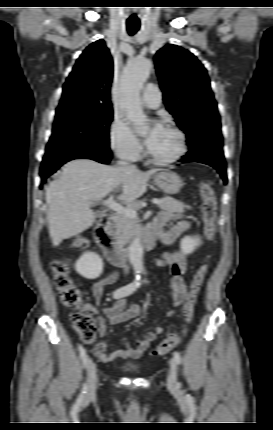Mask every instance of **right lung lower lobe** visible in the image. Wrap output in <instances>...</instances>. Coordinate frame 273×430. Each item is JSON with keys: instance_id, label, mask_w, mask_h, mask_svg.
Segmentation results:
<instances>
[{"instance_id": "1", "label": "right lung lower lobe", "mask_w": 273, "mask_h": 430, "mask_svg": "<svg viewBox=\"0 0 273 430\" xmlns=\"http://www.w3.org/2000/svg\"><path fill=\"white\" fill-rule=\"evenodd\" d=\"M79 158L92 159L100 163L107 164L110 162L111 153L110 151L109 152L83 151V152L72 153V154L60 157L58 159H55L53 161H50L48 163H44L42 164L41 171H40L42 182H45L46 178L49 175L53 174L64 163L70 160L79 159ZM40 188H42V186H40Z\"/></svg>"}]
</instances>
